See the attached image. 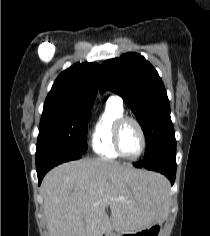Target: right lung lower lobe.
Instances as JSON below:
<instances>
[{
	"label": "right lung lower lobe",
	"mask_w": 210,
	"mask_h": 236,
	"mask_svg": "<svg viewBox=\"0 0 210 236\" xmlns=\"http://www.w3.org/2000/svg\"><path fill=\"white\" fill-rule=\"evenodd\" d=\"M83 154L66 150L52 149L44 152H36V170L39 185L44 175L54 166L70 160L80 159Z\"/></svg>",
	"instance_id": "1"
}]
</instances>
